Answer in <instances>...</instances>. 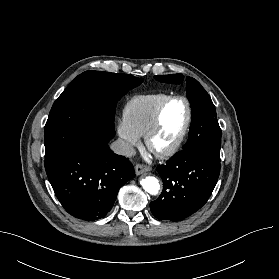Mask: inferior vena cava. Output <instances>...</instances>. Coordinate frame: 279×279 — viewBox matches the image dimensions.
Masks as SVG:
<instances>
[{
	"label": "inferior vena cava",
	"instance_id": "obj_1",
	"mask_svg": "<svg viewBox=\"0 0 279 279\" xmlns=\"http://www.w3.org/2000/svg\"><path fill=\"white\" fill-rule=\"evenodd\" d=\"M111 149L119 155L131 157L136 154L135 149L126 141L118 139L111 144Z\"/></svg>",
	"mask_w": 279,
	"mask_h": 279
}]
</instances>
